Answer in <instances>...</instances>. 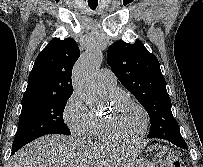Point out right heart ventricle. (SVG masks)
<instances>
[{
    "mask_svg": "<svg viewBox=\"0 0 203 167\" xmlns=\"http://www.w3.org/2000/svg\"><path fill=\"white\" fill-rule=\"evenodd\" d=\"M113 91H116V90L115 89L108 90V92H113ZM86 135L94 136L102 139L105 138L101 130L100 117L98 115L92 113L90 128Z\"/></svg>",
    "mask_w": 203,
    "mask_h": 167,
    "instance_id": "obj_1",
    "label": "right heart ventricle"
}]
</instances>
